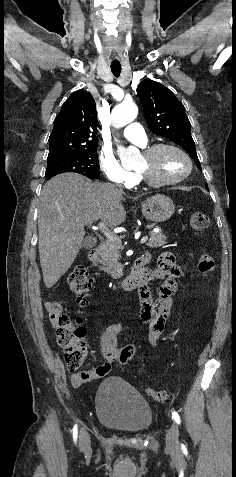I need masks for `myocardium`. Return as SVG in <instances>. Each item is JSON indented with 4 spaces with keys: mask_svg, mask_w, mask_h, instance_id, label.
<instances>
[{
    "mask_svg": "<svg viewBox=\"0 0 236 477\" xmlns=\"http://www.w3.org/2000/svg\"><path fill=\"white\" fill-rule=\"evenodd\" d=\"M167 149L173 150V151L179 153L180 155H182L184 157V159L187 162L186 172L184 174H182L181 176H179L177 178H174V179L158 181V180H154L153 178H151L146 172L136 169L137 177L141 182H143L144 184H146L148 186H151V187L170 186V185H175V184H178V183L182 182L183 180H185L191 174L192 168H193L192 160H191L190 156L182 148H180L177 145H174V144H171V143L155 144V145H152V146L146 148L142 152V155L146 159H151L155 155H157L159 152H161L163 150H167Z\"/></svg>",
    "mask_w": 236,
    "mask_h": 477,
    "instance_id": "1",
    "label": "myocardium"
}]
</instances>
